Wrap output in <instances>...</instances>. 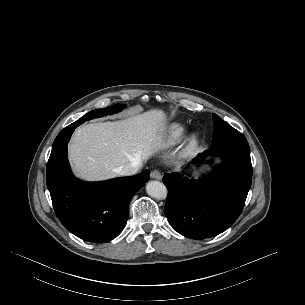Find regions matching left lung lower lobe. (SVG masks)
<instances>
[{"instance_id": "obj_1", "label": "left lung lower lobe", "mask_w": 305, "mask_h": 305, "mask_svg": "<svg viewBox=\"0 0 305 305\" xmlns=\"http://www.w3.org/2000/svg\"><path fill=\"white\" fill-rule=\"evenodd\" d=\"M206 155L223 159L222 166L208 178L188 180L179 173L163 177L168 188L165 215L177 232L193 239L213 237L228 229L242 212L252 181L250 149L210 148L194 162Z\"/></svg>"}]
</instances>
